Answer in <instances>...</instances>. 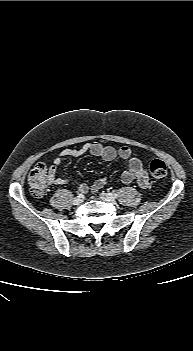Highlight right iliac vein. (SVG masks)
Returning a JSON list of instances; mask_svg holds the SVG:
<instances>
[{"label":"right iliac vein","instance_id":"obj_1","mask_svg":"<svg viewBox=\"0 0 193 351\" xmlns=\"http://www.w3.org/2000/svg\"><path fill=\"white\" fill-rule=\"evenodd\" d=\"M82 202H83L82 197H75L73 199V204L76 205V206H79Z\"/></svg>","mask_w":193,"mask_h":351}]
</instances>
